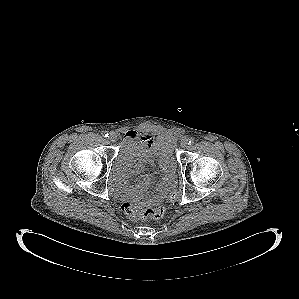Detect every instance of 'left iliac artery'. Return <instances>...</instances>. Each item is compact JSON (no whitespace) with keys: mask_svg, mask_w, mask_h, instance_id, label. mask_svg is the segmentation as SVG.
I'll return each instance as SVG.
<instances>
[{"mask_svg":"<svg viewBox=\"0 0 299 299\" xmlns=\"http://www.w3.org/2000/svg\"><path fill=\"white\" fill-rule=\"evenodd\" d=\"M193 143H194V139L193 138L189 139L188 144L192 145Z\"/></svg>","mask_w":299,"mask_h":299,"instance_id":"left-iliac-artery-1","label":"left iliac artery"}]
</instances>
